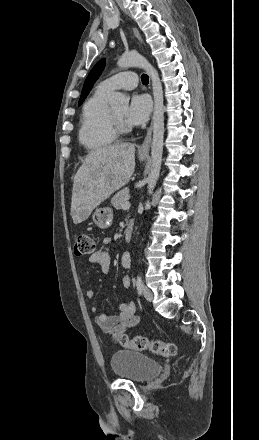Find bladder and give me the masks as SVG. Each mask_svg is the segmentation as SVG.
I'll list each match as a JSON object with an SVG mask.
<instances>
[{
    "mask_svg": "<svg viewBox=\"0 0 259 440\" xmlns=\"http://www.w3.org/2000/svg\"><path fill=\"white\" fill-rule=\"evenodd\" d=\"M113 373L122 379L145 382L156 377L162 370L157 360L135 350H119L111 357Z\"/></svg>",
    "mask_w": 259,
    "mask_h": 440,
    "instance_id": "1",
    "label": "bladder"
}]
</instances>
